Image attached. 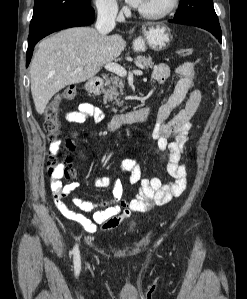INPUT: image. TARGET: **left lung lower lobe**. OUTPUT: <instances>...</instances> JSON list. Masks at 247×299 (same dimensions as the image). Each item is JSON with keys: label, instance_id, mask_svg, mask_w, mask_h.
<instances>
[{"label": "left lung lower lobe", "instance_id": "left-lung-lower-lobe-1", "mask_svg": "<svg viewBox=\"0 0 247 299\" xmlns=\"http://www.w3.org/2000/svg\"><path fill=\"white\" fill-rule=\"evenodd\" d=\"M169 22L191 25L205 29L211 32L221 43V28L219 21H214L201 15H189L181 18L171 19Z\"/></svg>", "mask_w": 247, "mask_h": 299}]
</instances>
